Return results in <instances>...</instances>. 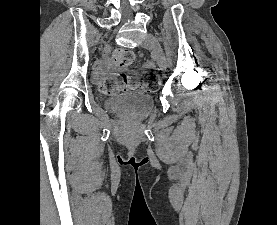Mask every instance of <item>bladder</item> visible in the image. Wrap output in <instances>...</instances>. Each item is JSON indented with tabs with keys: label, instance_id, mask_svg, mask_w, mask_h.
Listing matches in <instances>:
<instances>
[{
	"label": "bladder",
	"instance_id": "31cf9c89",
	"mask_svg": "<svg viewBox=\"0 0 277 225\" xmlns=\"http://www.w3.org/2000/svg\"><path fill=\"white\" fill-rule=\"evenodd\" d=\"M106 106L112 113L143 117L152 110L154 100L147 93L134 91L112 95Z\"/></svg>",
	"mask_w": 277,
	"mask_h": 225
}]
</instances>
